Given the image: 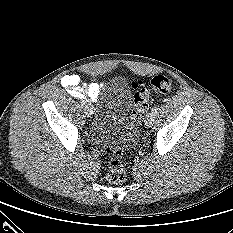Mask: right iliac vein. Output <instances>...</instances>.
I'll list each match as a JSON object with an SVG mask.
<instances>
[{
  "mask_svg": "<svg viewBox=\"0 0 233 233\" xmlns=\"http://www.w3.org/2000/svg\"><path fill=\"white\" fill-rule=\"evenodd\" d=\"M85 112L88 116H92L93 114V108L90 105L85 106Z\"/></svg>",
  "mask_w": 233,
  "mask_h": 233,
  "instance_id": "1",
  "label": "right iliac vein"
}]
</instances>
